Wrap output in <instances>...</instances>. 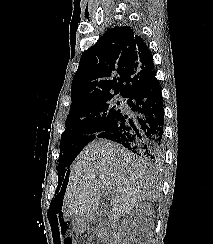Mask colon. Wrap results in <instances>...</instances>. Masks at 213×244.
Here are the masks:
<instances>
[{
	"instance_id": "colon-1",
	"label": "colon",
	"mask_w": 213,
	"mask_h": 244,
	"mask_svg": "<svg viewBox=\"0 0 213 244\" xmlns=\"http://www.w3.org/2000/svg\"><path fill=\"white\" fill-rule=\"evenodd\" d=\"M63 244H77V243L72 238H66V239H64Z\"/></svg>"
}]
</instances>
